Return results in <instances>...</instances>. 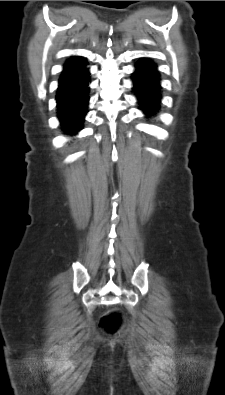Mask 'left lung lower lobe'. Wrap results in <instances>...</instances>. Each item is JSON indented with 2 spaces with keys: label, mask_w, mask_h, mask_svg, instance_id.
<instances>
[{
  "label": "left lung lower lobe",
  "mask_w": 225,
  "mask_h": 395,
  "mask_svg": "<svg viewBox=\"0 0 225 395\" xmlns=\"http://www.w3.org/2000/svg\"><path fill=\"white\" fill-rule=\"evenodd\" d=\"M133 90L140 110L147 116H155L162 99L161 79L157 65L148 58H141L135 64L132 73Z\"/></svg>",
  "instance_id": "1"
}]
</instances>
